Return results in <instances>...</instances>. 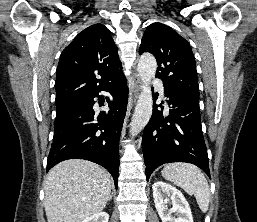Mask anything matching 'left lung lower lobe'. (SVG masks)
Returning a JSON list of instances; mask_svg holds the SVG:
<instances>
[{"mask_svg": "<svg viewBox=\"0 0 257 222\" xmlns=\"http://www.w3.org/2000/svg\"><path fill=\"white\" fill-rule=\"evenodd\" d=\"M164 90L169 115L163 116L157 107H164L155 105L142 137L147 180L157 167L171 162L195 164L210 177L199 99L165 86Z\"/></svg>", "mask_w": 257, "mask_h": 222, "instance_id": "1", "label": "left lung lower lobe"}]
</instances>
